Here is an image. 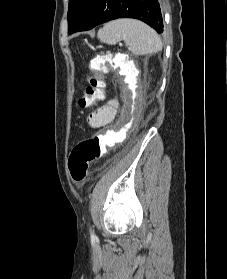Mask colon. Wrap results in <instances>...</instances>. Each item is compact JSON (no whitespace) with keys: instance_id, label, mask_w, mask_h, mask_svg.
Segmentation results:
<instances>
[{"instance_id":"1","label":"colon","mask_w":227,"mask_h":279,"mask_svg":"<svg viewBox=\"0 0 227 279\" xmlns=\"http://www.w3.org/2000/svg\"><path fill=\"white\" fill-rule=\"evenodd\" d=\"M88 68L91 74L88 76L87 86L78 100V104L82 108L93 105L96 100L103 99L105 96L104 58H92ZM114 135L113 130L96 132L74 146L68 165L71 178L75 182H82L87 176L89 164L106 154L108 147L114 141Z\"/></svg>"}]
</instances>
